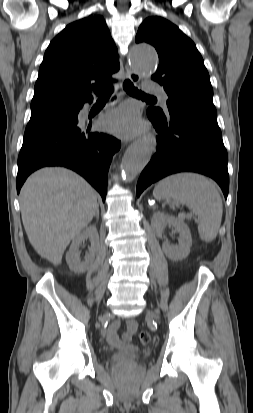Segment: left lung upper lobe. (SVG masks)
<instances>
[{
  "mask_svg": "<svg viewBox=\"0 0 253 413\" xmlns=\"http://www.w3.org/2000/svg\"><path fill=\"white\" fill-rule=\"evenodd\" d=\"M135 41L149 43L158 52L159 67L151 79L164 86L169 111L184 107L217 115L202 56L194 42L176 25L162 17H149L139 27ZM149 110L164 115L160 108Z\"/></svg>",
  "mask_w": 253,
  "mask_h": 413,
  "instance_id": "5c2ea615",
  "label": "left lung upper lobe"
}]
</instances>
